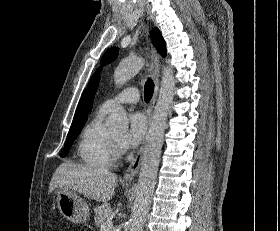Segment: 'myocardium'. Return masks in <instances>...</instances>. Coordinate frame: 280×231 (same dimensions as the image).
Segmentation results:
<instances>
[{
    "mask_svg": "<svg viewBox=\"0 0 280 231\" xmlns=\"http://www.w3.org/2000/svg\"><path fill=\"white\" fill-rule=\"evenodd\" d=\"M111 141H112L113 146H115V139L111 138Z\"/></svg>",
    "mask_w": 280,
    "mask_h": 231,
    "instance_id": "f54148a6",
    "label": "myocardium"
}]
</instances>
